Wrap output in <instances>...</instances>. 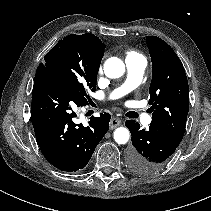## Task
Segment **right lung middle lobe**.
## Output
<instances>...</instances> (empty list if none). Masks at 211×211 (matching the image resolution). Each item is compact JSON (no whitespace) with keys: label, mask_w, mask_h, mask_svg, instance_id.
<instances>
[{"label":"right lung middle lobe","mask_w":211,"mask_h":211,"mask_svg":"<svg viewBox=\"0 0 211 211\" xmlns=\"http://www.w3.org/2000/svg\"><path fill=\"white\" fill-rule=\"evenodd\" d=\"M97 50L88 42L71 34L60 40L45 56L36 75H45L69 85L86 100L95 92L101 62Z\"/></svg>","instance_id":"dd1d6c3e"}]
</instances>
